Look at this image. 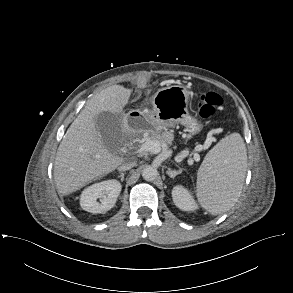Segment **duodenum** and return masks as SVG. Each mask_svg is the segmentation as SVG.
I'll return each instance as SVG.
<instances>
[{"label": "duodenum", "mask_w": 293, "mask_h": 293, "mask_svg": "<svg viewBox=\"0 0 293 293\" xmlns=\"http://www.w3.org/2000/svg\"><path fill=\"white\" fill-rule=\"evenodd\" d=\"M137 121H143L142 117H138L137 118ZM125 122L129 125L133 124L135 122V120L132 118V116L130 114H128L126 117H125Z\"/></svg>", "instance_id": "duodenum-1"}]
</instances>
